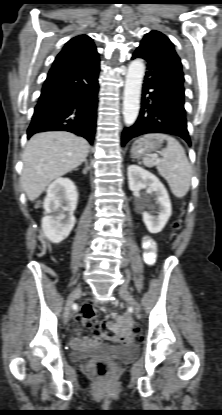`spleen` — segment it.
Listing matches in <instances>:
<instances>
[{"label":"spleen","mask_w":222,"mask_h":415,"mask_svg":"<svg viewBox=\"0 0 222 415\" xmlns=\"http://www.w3.org/2000/svg\"><path fill=\"white\" fill-rule=\"evenodd\" d=\"M144 138L167 141L166 148L161 151V159L155 160L148 155L143 159V164L147 167L155 165L160 175L166 179L172 193L177 198H183L189 191L192 177L185 150L175 138L165 134H147Z\"/></svg>","instance_id":"spleen-1"}]
</instances>
